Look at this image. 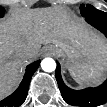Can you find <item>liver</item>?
Returning <instances> with one entry per match:
<instances>
[{
  "label": "liver",
  "mask_w": 107,
  "mask_h": 107,
  "mask_svg": "<svg viewBox=\"0 0 107 107\" xmlns=\"http://www.w3.org/2000/svg\"><path fill=\"white\" fill-rule=\"evenodd\" d=\"M70 34L76 36L74 44L82 42L81 59L93 61L106 52V43L99 36H90L78 28L66 10L15 9L0 23V92L9 94L18 84L23 65L38 55L42 45L59 44ZM22 50L33 53L32 58L20 54Z\"/></svg>",
  "instance_id": "1"
}]
</instances>
